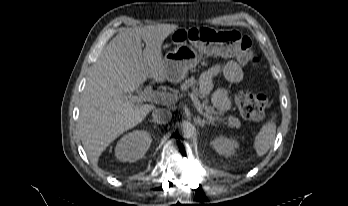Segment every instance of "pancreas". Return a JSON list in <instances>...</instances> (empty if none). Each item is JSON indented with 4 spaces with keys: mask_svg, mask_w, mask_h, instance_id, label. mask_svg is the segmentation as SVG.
<instances>
[{
    "mask_svg": "<svg viewBox=\"0 0 348 206\" xmlns=\"http://www.w3.org/2000/svg\"><path fill=\"white\" fill-rule=\"evenodd\" d=\"M189 88H192L193 93L196 96H200L203 98V103L202 106L204 107L206 111V115L211 118V121L213 122H222L227 124L229 127H239L240 126V121L238 118L229 116L226 118H223L218 111L214 109L213 106L209 105V99L208 97L202 96L201 92L197 88V80L194 77L188 78L185 80V82L180 86V89L182 91H188Z\"/></svg>",
    "mask_w": 348,
    "mask_h": 206,
    "instance_id": "obj_1",
    "label": "pancreas"
}]
</instances>
